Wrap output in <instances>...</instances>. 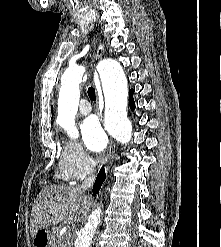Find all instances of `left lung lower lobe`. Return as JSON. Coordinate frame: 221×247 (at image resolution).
Wrapping results in <instances>:
<instances>
[{"label":"left lung lower lobe","mask_w":221,"mask_h":247,"mask_svg":"<svg viewBox=\"0 0 221 247\" xmlns=\"http://www.w3.org/2000/svg\"><path fill=\"white\" fill-rule=\"evenodd\" d=\"M133 94H134V89H131L129 93V103H130V108L132 111L135 109V102L133 99Z\"/></svg>","instance_id":"left-lung-lower-lobe-1"}]
</instances>
